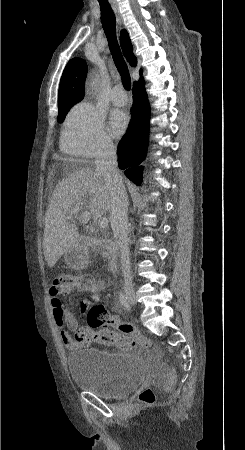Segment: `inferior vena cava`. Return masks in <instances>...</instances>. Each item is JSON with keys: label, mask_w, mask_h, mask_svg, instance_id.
I'll return each mask as SVG.
<instances>
[{"label": "inferior vena cava", "mask_w": 245, "mask_h": 450, "mask_svg": "<svg viewBox=\"0 0 245 450\" xmlns=\"http://www.w3.org/2000/svg\"><path fill=\"white\" fill-rule=\"evenodd\" d=\"M96 171L102 174L110 195V223L120 248L121 269L125 284L132 283L128 241V201L122 176L117 168V155L112 142L105 141L95 159Z\"/></svg>", "instance_id": "obj_1"}]
</instances>
